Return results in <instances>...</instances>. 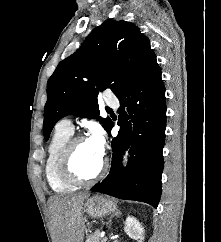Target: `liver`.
<instances>
[{
	"instance_id": "liver-1",
	"label": "liver",
	"mask_w": 221,
	"mask_h": 242,
	"mask_svg": "<svg viewBox=\"0 0 221 242\" xmlns=\"http://www.w3.org/2000/svg\"><path fill=\"white\" fill-rule=\"evenodd\" d=\"M89 193L53 196L49 199L53 242H83V204Z\"/></svg>"
}]
</instances>
